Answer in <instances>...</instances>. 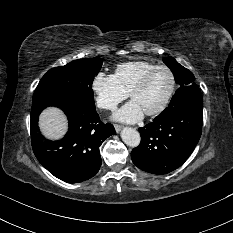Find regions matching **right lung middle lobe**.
Returning <instances> with one entry per match:
<instances>
[{
	"label": "right lung middle lobe",
	"instance_id": "obj_1",
	"mask_svg": "<svg viewBox=\"0 0 233 233\" xmlns=\"http://www.w3.org/2000/svg\"><path fill=\"white\" fill-rule=\"evenodd\" d=\"M102 59L85 58L49 70L34 95L37 100H68L95 107L92 81L101 69Z\"/></svg>",
	"mask_w": 233,
	"mask_h": 233
}]
</instances>
